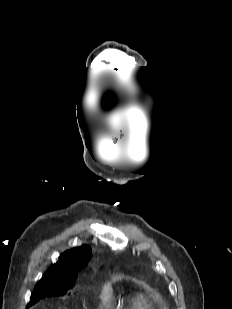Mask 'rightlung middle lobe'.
Here are the masks:
<instances>
[{
    "label": "right lung middle lobe",
    "mask_w": 232,
    "mask_h": 309,
    "mask_svg": "<svg viewBox=\"0 0 232 309\" xmlns=\"http://www.w3.org/2000/svg\"><path fill=\"white\" fill-rule=\"evenodd\" d=\"M72 281H61V282H38L35 286L33 293L30 297L28 307L38 302L40 299L47 296H59L64 295L70 288ZM27 307V308H28Z\"/></svg>",
    "instance_id": "1"
}]
</instances>
